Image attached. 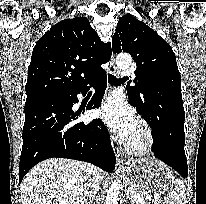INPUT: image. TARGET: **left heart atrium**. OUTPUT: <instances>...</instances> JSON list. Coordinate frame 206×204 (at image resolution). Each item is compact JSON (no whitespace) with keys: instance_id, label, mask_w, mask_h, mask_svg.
Segmentation results:
<instances>
[{"instance_id":"1","label":"left heart atrium","mask_w":206,"mask_h":204,"mask_svg":"<svg viewBox=\"0 0 206 204\" xmlns=\"http://www.w3.org/2000/svg\"><path fill=\"white\" fill-rule=\"evenodd\" d=\"M98 116L124 138H130L137 122L133 109L119 95H112L98 110Z\"/></svg>"}]
</instances>
